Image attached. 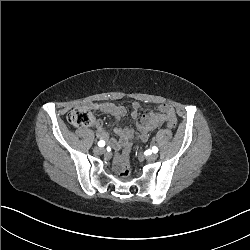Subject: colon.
<instances>
[{
    "label": "colon",
    "mask_w": 250,
    "mask_h": 250,
    "mask_svg": "<svg viewBox=\"0 0 250 250\" xmlns=\"http://www.w3.org/2000/svg\"><path fill=\"white\" fill-rule=\"evenodd\" d=\"M67 121L69 122L70 125L73 127H87L92 124L93 122V115L91 114L90 111H88L85 108H74L72 109L68 115H67ZM176 122L174 120H169L167 123V128L168 129H173L176 127ZM131 146L130 145H125L123 148V151L121 153V165H122V170H121V176L122 177H127L130 174V170L128 169V159H129V154L131 152Z\"/></svg>",
    "instance_id": "1"
}]
</instances>
